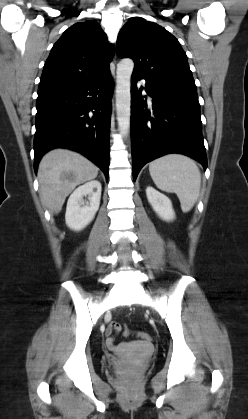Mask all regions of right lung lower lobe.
Wrapping results in <instances>:
<instances>
[{"label":"right lung lower lobe","mask_w":248,"mask_h":419,"mask_svg":"<svg viewBox=\"0 0 248 419\" xmlns=\"http://www.w3.org/2000/svg\"><path fill=\"white\" fill-rule=\"evenodd\" d=\"M112 79L108 69L81 83L38 90L34 168L56 147L78 151L108 178Z\"/></svg>","instance_id":"1"}]
</instances>
